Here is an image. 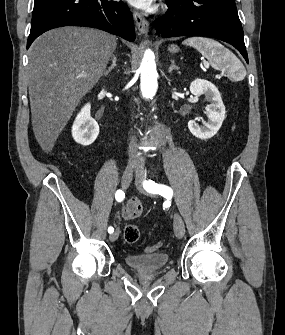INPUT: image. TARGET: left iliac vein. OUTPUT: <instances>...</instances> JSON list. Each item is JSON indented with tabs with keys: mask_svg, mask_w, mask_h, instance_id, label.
Instances as JSON below:
<instances>
[{
	"mask_svg": "<svg viewBox=\"0 0 285 335\" xmlns=\"http://www.w3.org/2000/svg\"><path fill=\"white\" fill-rule=\"evenodd\" d=\"M136 187L139 192L143 193V178H137ZM174 233L177 238L181 239L185 235V224L183 219L178 213L174 214Z\"/></svg>",
	"mask_w": 285,
	"mask_h": 335,
	"instance_id": "4c4485c4",
	"label": "left iliac vein"
}]
</instances>
